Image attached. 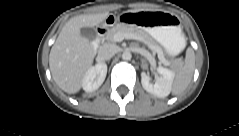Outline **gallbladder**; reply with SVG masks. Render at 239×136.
Instances as JSON below:
<instances>
[{
    "label": "gallbladder",
    "mask_w": 239,
    "mask_h": 136,
    "mask_svg": "<svg viewBox=\"0 0 239 136\" xmlns=\"http://www.w3.org/2000/svg\"><path fill=\"white\" fill-rule=\"evenodd\" d=\"M82 37L92 41L96 38V31L92 27H82L80 30Z\"/></svg>",
    "instance_id": "bac80fb5"
}]
</instances>
